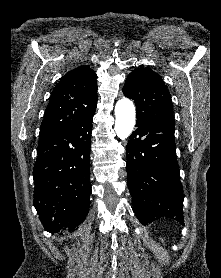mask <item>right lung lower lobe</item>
I'll use <instances>...</instances> for the list:
<instances>
[{"label":"right lung lower lobe","instance_id":"1","mask_svg":"<svg viewBox=\"0 0 221 278\" xmlns=\"http://www.w3.org/2000/svg\"><path fill=\"white\" fill-rule=\"evenodd\" d=\"M94 113L38 143L34 206L48 232L74 229L88 214Z\"/></svg>","mask_w":221,"mask_h":278}]
</instances>
